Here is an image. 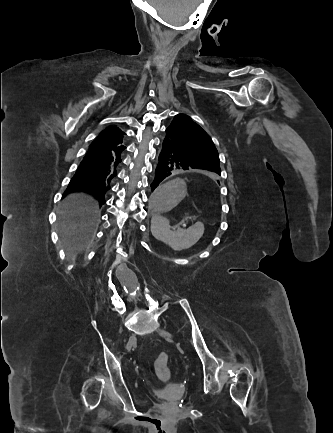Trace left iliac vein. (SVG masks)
Wrapping results in <instances>:
<instances>
[{"instance_id": "obj_1", "label": "left iliac vein", "mask_w": 333, "mask_h": 433, "mask_svg": "<svg viewBox=\"0 0 333 433\" xmlns=\"http://www.w3.org/2000/svg\"><path fill=\"white\" fill-rule=\"evenodd\" d=\"M158 332L164 338H171L172 337V335L165 330H159Z\"/></svg>"}]
</instances>
